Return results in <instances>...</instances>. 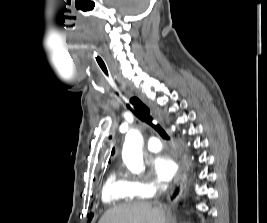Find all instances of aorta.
I'll return each instance as SVG.
<instances>
[{
    "label": "aorta",
    "mask_w": 267,
    "mask_h": 223,
    "mask_svg": "<svg viewBox=\"0 0 267 223\" xmlns=\"http://www.w3.org/2000/svg\"><path fill=\"white\" fill-rule=\"evenodd\" d=\"M142 144L143 138L138 130H130L126 134L122 158L132 173L139 174L144 170Z\"/></svg>",
    "instance_id": "aorta-1"
}]
</instances>
